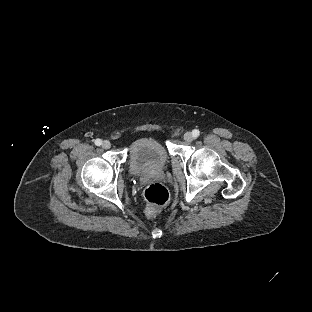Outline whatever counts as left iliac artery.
<instances>
[{
  "label": "left iliac artery",
  "instance_id": "44dca946",
  "mask_svg": "<svg viewBox=\"0 0 312 312\" xmlns=\"http://www.w3.org/2000/svg\"><path fill=\"white\" fill-rule=\"evenodd\" d=\"M192 133H193V136H194V137H198L199 134H200L199 130H196V129L193 130Z\"/></svg>",
  "mask_w": 312,
  "mask_h": 312
}]
</instances>
